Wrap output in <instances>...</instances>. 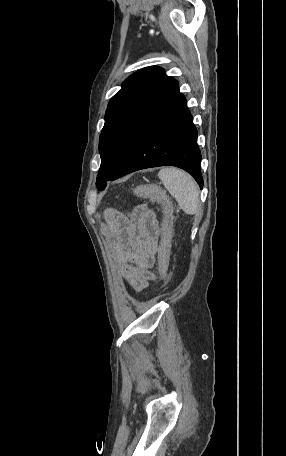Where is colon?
<instances>
[{"label":"colon","instance_id":"1","mask_svg":"<svg viewBox=\"0 0 286 456\" xmlns=\"http://www.w3.org/2000/svg\"><path fill=\"white\" fill-rule=\"evenodd\" d=\"M134 194L140 197H149L159 202L168 212L170 201L166 193L156 185H139L135 187ZM169 214V212H168ZM172 234L171 223L168 219L163 224L161 242L158 250V267L157 273L161 282L165 283L169 275V247Z\"/></svg>","mask_w":286,"mask_h":456}]
</instances>
